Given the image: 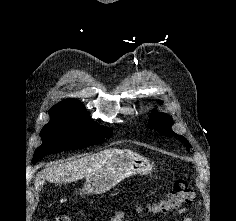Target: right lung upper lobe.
I'll return each mask as SVG.
<instances>
[{"label": "right lung upper lobe", "instance_id": "cb5924a9", "mask_svg": "<svg viewBox=\"0 0 236 221\" xmlns=\"http://www.w3.org/2000/svg\"><path fill=\"white\" fill-rule=\"evenodd\" d=\"M53 107H67V108L86 112L84 105L76 99H68V100L59 102Z\"/></svg>", "mask_w": 236, "mask_h": 221}]
</instances>
